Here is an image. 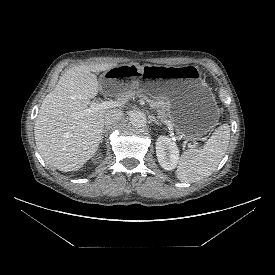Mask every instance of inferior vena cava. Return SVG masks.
<instances>
[{"instance_id":"inferior-vena-cava-1","label":"inferior vena cava","mask_w":275,"mask_h":275,"mask_svg":"<svg viewBox=\"0 0 275 275\" xmlns=\"http://www.w3.org/2000/svg\"><path fill=\"white\" fill-rule=\"evenodd\" d=\"M123 117V113L120 110H110L105 114L104 117V123L107 126H111L116 124L118 121H120Z\"/></svg>"}]
</instances>
